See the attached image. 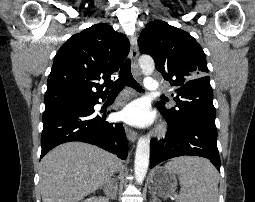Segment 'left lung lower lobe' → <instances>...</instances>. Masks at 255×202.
<instances>
[{"label": "left lung lower lobe", "mask_w": 255, "mask_h": 202, "mask_svg": "<svg viewBox=\"0 0 255 202\" xmlns=\"http://www.w3.org/2000/svg\"><path fill=\"white\" fill-rule=\"evenodd\" d=\"M165 139L151 140L150 168L167 159L190 155L208 158L220 171L216 126L204 121H188L176 125L168 120Z\"/></svg>", "instance_id": "left-lung-lower-lobe-1"}]
</instances>
